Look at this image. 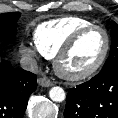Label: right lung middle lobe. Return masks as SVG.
Returning <instances> with one entry per match:
<instances>
[{
	"mask_svg": "<svg viewBox=\"0 0 118 118\" xmlns=\"http://www.w3.org/2000/svg\"><path fill=\"white\" fill-rule=\"evenodd\" d=\"M18 12L0 14V40L12 42L16 36Z\"/></svg>",
	"mask_w": 118,
	"mask_h": 118,
	"instance_id": "obj_1",
	"label": "right lung middle lobe"
}]
</instances>
